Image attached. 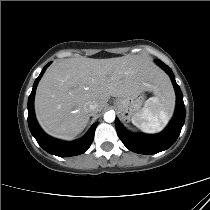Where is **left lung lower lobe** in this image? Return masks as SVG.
I'll use <instances>...</instances> for the list:
<instances>
[{"label":"left lung lower lobe","instance_id":"obj_1","mask_svg":"<svg viewBox=\"0 0 210 210\" xmlns=\"http://www.w3.org/2000/svg\"><path fill=\"white\" fill-rule=\"evenodd\" d=\"M156 63L169 74L177 96L175 114L167 128L156 135H134L126 131L118 119H115L116 130L123 144L129 150L140 154H155L168 149L177 140L185 121L183 95L175 81L174 74L162 61L156 60Z\"/></svg>","mask_w":210,"mask_h":210}]
</instances>
